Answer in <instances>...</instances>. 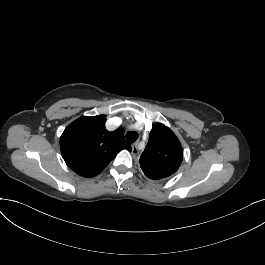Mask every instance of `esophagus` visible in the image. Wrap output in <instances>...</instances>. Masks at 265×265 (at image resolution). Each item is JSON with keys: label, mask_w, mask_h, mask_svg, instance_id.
<instances>
[{"label": "esophagus", "mask_w": 265, "mask_h": 265, "mask_svg": "<svg viewBox=\"0 0 265 265\" xmlns=\"http://www.w3.org/2000/svg\"><path fill=\"white\" fill-rule=\"evenodd\" d=\"M139 149H138V142H135L132 144V154L133 155H138Z\"/></svg>", "instance_id": "1"}]
</instances>
